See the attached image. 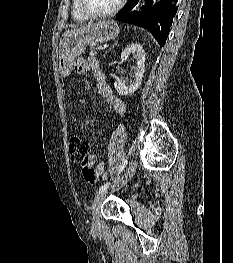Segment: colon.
Listing matches in <instances>:
<instances>
[{"mask_svg":"<svg viewBox=\"0 0 233 263\" xmlns=\"http://www.w3.org/2000/svg\"><path fill=\"white\" fill-rule=\"evenodd\" d=\"M69 153L72 161L81 164L83 175L89 183L106 178L103 169L94 170L88 166L87 159L90 155V144L87 141L77 136L72 137L69 143Z\"/></svg>","mask_w":233,"mask_h":263,"instance_id":"colon-1","label":"colon"}]
</instances>
